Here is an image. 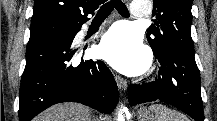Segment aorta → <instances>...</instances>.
Returning a JSON list of instances; mask_svg holds the SVG:
<instances>
[{
    "mask_svg": "<svg viewBox=\"0 0 217 121\" xmlns=\"http://www.w3.org/2000/svg\"><path fill=\"white\" fill-rule=\"evenodd\" d=\"M126 111H127V108L121 106L120 111L118 113L117 121H125L123 113Z\"/></svg>",
    "mask_w": 217,
    "mask_h": 121,
    "instance_id": "1",
    "label": "aorta"
}]
</instances>
